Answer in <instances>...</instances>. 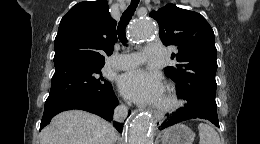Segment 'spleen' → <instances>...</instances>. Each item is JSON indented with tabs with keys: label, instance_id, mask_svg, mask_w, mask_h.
Segmentation results:
<instances>
[{
	"label": "spleen",
	"instance_id": "1",
	"mask_svg": "<svg viewBox=\"0 0 260 144\" xmlns=\"http://www.w3.org/2000/svg\"><path fill=\"white\" fill-rule=\"evenodd\" d=\"M199 129V144H221L218 133L213 127L208 124L200 123Z\"/></svg>",
	"mask_w": 260,
	"mask_h": 144
}]
</instances>
